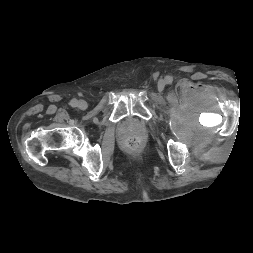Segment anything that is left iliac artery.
Returning a JSON list of instances; mask_svg holds the SVG:
<instances>
[{
	"instance_id": "1",
	"label": "left iliac artery",
	"mask_w": 253,
	"mask_h": 253,
	"mask_svg": "<svg viewBox=\"0 0 253 253\" xmlns=\"http://www.w3.org/2000/svg\"><path fill=\"white\" fill-rule=\"evenodd\" d=\"M166 81H167V83H170V82H171V79H170V78H167Z\"/></svg>"
}]
</instances>
